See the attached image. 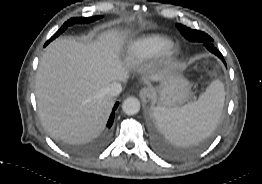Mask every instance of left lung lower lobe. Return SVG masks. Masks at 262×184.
Wrapping results in <instances>:
<instances>
[{"label":"left lung lower lobe","instance_id":"0a47b994","mask_svg":"<svg viewBox=\"0 0 262 184\" xmlns=\"http://www.w3.org/2000/svg\"><path fill=\"white\" fill-rule=\"evenodd\" d=\"M205 47L215 55H217L225 63L222 54L214 47L212 42H204ZM152 143L154 149L163 157L170 159H186L197 155L204 147V143L194 142L192 144L180 147H172L168 145L163 137L158 133L156 126L152 125Z\"/></svg>","mask_w":262,"mask_h":184}]
</instances>
